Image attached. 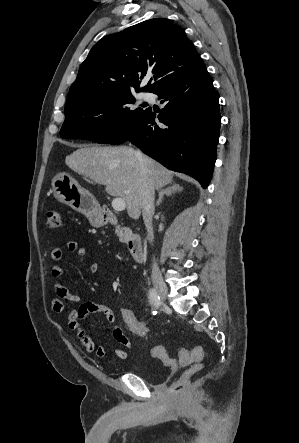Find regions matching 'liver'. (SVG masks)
<instances>
[{
    "mask_svg": "<svg viewBox=\"0 0 299 443\" xmlns=\"http://www.w3.org/2000/svg\"><path fill=\"white\" fill-rule=\"evenodd\" d=\"M131 147L82 146L68 155L66 165L76 173L104 185L106 192L125 201L129 217L141 214V164ZM143 164L155 189L171 183L173 172L146 155Z\"/></svg>",
    "mask_w": 299,
    "mask_h": 443,
    "instance_id": "6515ba94",
    "label": "liver"
}]
</instances>
